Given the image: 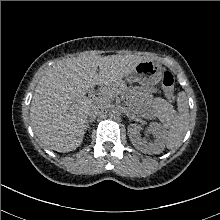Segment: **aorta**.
<instances>
[{"mask_svg": "<svg viewBox=\"0 0 220 220\" xmlns=\"http://www.w3.org/2000/svg\"><path fill=\"white\" fill-rule=\"evenodd\" d=\"M119 115V111L117 110V109H111L110 111H109V116L110 117H116V116H118Z\"/></svg>", "mask_w": 220, "mask_h": 220, "instance_id": "1", "label": "aorta"}]
</instances>
